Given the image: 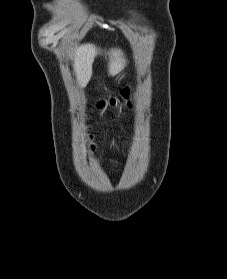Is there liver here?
Masks as SVG:
<instances>
[{
	"label": "liver",
	"mask_w": 227,
	"mask_h": 279,
	"mask_svg": "<svg viewBox=\"0 0 227 279\" xmlns=\"http://www.w3.org/2000/svg\"><path fill=\"white\" fill-rule=\"evenodd\" d=\"M97 54H100V50L93 44H84L75 50L73 68L81 87H85L91 78L92 64ZM107 54L109 75L114 76L126 66V60L119 49H111Z\"/></svg>",
	"instance_id": "obj_1"
}]
</instances>
